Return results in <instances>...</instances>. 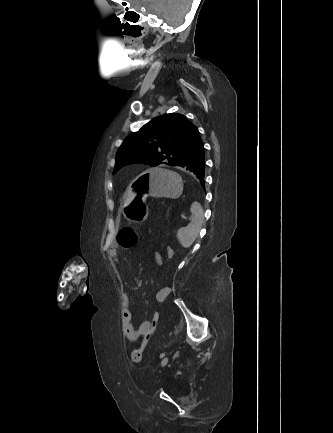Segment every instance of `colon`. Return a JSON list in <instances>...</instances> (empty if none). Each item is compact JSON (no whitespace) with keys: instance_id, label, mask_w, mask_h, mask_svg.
<instances>
[{"instance_id":"1","label":"colon","mask_w":333,"mask_h":433,"mask_svg":"<svg viewBox=\"0 0 333 433\" xmlns=\"http://www.w3.org/2000/svg\"><path fill=\"white\" fill-rule=\"evenodd\" d=\"M117 241L118 245L121 248H132L137 244L138 238L135 233V231L130 227H123L118 235H117ZM174 248L168 247L167 252L165 254L166 259L171 260L174 257ZM152 315L150 317V330H155L157 327L156 325L160 321V315L158 314V310L154 309L152 310ZM151 333L145 335L142 339V342L139 347L135 348L131 353V359L135 363H139L142 360L143 351L145 349V346L149 340Z\"/></svg>"}]
</instances>
